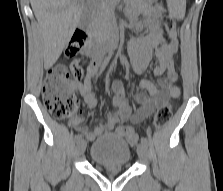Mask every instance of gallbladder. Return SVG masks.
Returning a JSON list of instances; mask_svg holds the SVG:
<instances>
[{
    "label": "gallbladder",
    "mask_w": 223,
    "mask_h": 191,
    "mask_svg": "<svg viewBox=\"0 0 223 191\" xmlns=\"http://www.w3.org/2000/svg\"><path fill=\"white\" fill-rule=\"evenodd\" d=\"M88 16H89V12L87 10H84L81 14V18L79 21V26H85L88 22Z\"/></svg>",
    "instance_id": "1"
}]
</instances>
